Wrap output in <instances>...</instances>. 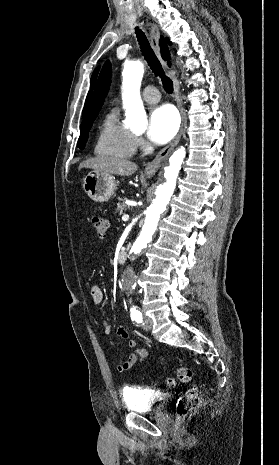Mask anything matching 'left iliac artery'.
Returning a JSON list of instances; mask_svg holds the SVG:
<instances>
[{
    "instance_id": "44dca946",
    "label": "left iliac artery",
    "mask_w": 279,
    "mask_h": 465,
    "mask_svg": "<svg viewBox=\"0 0 279 465\" xmlns=\"http://www.w3.org/2000/svg\"><path fill=\"white\" fill-rule=\"evenodd\" d=\"M130 313H131L132 320L136 321L137 323L142 322L143 320L142 313L136 307L133 306L130 309Z\"/></svg>"
}]
</instances>
